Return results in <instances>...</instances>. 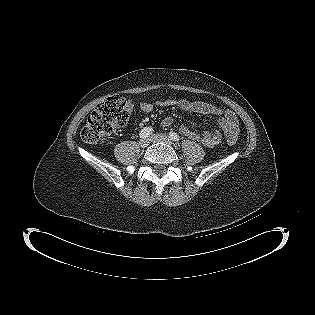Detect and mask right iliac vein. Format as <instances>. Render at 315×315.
Instances as JSON below:
<instances>
[{
	"mask_svg": "<svg viewBox=\"0 0 315 315\" xmlns=\"http://www.w3.org/2000/svg\"><path fill=\"white\" fill-rule=\"evenodd\" d=\"M139 145L141 148H146L149 145V140L148 139H141L139 141Z\"/></svg>",
	"mask_w": 315,
	"mask_h": 315,
	"instance_id": "obj_1",
	"label": "right iliac vein"
}]
</instances>
